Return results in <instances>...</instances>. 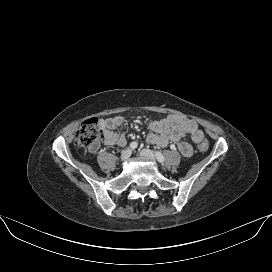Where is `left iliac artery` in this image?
Here are the masks:
<instances>
[{"label":"left iliac artery","instance_id":"obj_1","mask_svg":"<svg viewBox=\"0 0 272 272\" xmlns=\"http://www.w3.org/2000/svg\"><path fill=\"white\" fill-rule=\"evenodd\" d=\"M155 155H156L157 160L160 163H163L165 161V158H164V156H163V154L161 152L157 151Z\"/></svg>","mask_w":272,"mask_h":272}]
</instances>
